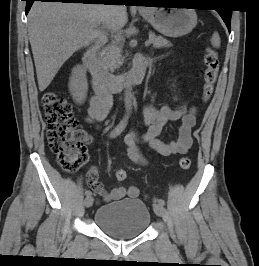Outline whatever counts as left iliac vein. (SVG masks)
Instances as JSON below:
<instances>
[{"mask_svg":"<svg viewBox=\"0 0 259 266\" xmlns=\"http://www.w3.org/2000/svg\"><path fill=\"white\" fill-rule=\"evenodd\" d=\"M154 212L156 215L163 217L165 214V209L161 204H154L153 206Z\"/></svg>","mask_w":259,"mask_h":266,"instance_id":"4c4485c4","label":"left iliac vein"}]
</instances>
